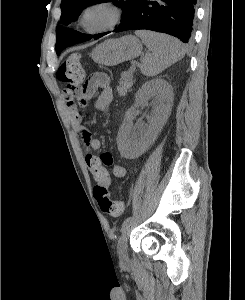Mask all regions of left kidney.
I'll list each match as a JSON object with an SVG mask.
<instances>
[{
    "label": "left kidney",
    "mask_w": 245,
    "mask_h": 300,
    "mask_svg": "<svg viewBox=\"0 0 245 300\" xmlns=\"http://www.w3.org/2000/svg\"><path fill=\"white\" fill-rule=\"evenodd\" d=\"M153 100V110L149 125L139 127L136 132L132 126L133 111L136 107ZM173 92L169 84L160 78L147 81L135 96L134 107L127 110L124 122L118 134V148L124 156H136L141 153L157 136L168 119L172 108Z\"/></svg>",
    "instance_id": "obj_1"
}]
</instances>
